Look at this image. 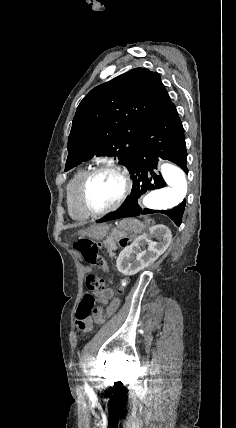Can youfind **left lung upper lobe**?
<instances>
[{"label":"left lung upper lobe","mask_w":236,"mask_h":428,"mask_svg":"<svg viewBox=\"0 0 236 428\" xmlns=\"http://www.w3.org/2000/svg\"><path fill=\"white\" fill-rule=\"evenodd\" d=\"M171 104L160 75L145 68L95 87L74 116L65 171L95 155L115 156L128 167L143 129Z\"/></svg>","instance_id":"1"}]
</instances>
